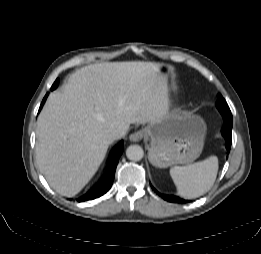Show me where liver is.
Returning a JSON list of instances; mask_svg holds the SVG:
<instances>
[{"instance_id": "liver-1", "label": "liver", "mask_w": 261, "mask_h": 254, "mask_svg": "<svg viewBox=\"0 0 261 254\" xmlns=\"http://www.w3.org/2000/svg\"><path fill=\"white\" fill-rule=\"evenodd\" d=\"M158 63L92 64L72 73L52 93L38 117L36 160L49 185L72 197L105 158L107 134L122 137L130 124L156 121L164 110V79Z\"/></svg>"}]
</instances>
